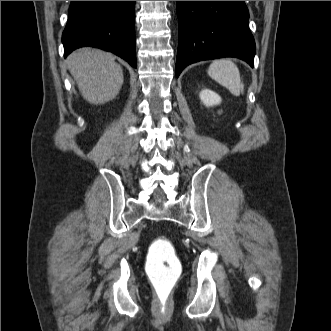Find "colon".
<instances>
[{
    "label": "colon",
    "instance_id": "1",
    "mask_svg": "<svg viewBox=\"0 0 331 331\" xmlns=\"http://www.w3.org/2000/svg\"><path fill=\"white\" fill-rule=\"evenodd\" d=\"M146 273L158 305L167 307L182 273L181 263L168 239L159 237L152 242L146 261Z\"/></svg>",
    "mask_w": 331,
    "mask_h": 331
}]
</instances>
